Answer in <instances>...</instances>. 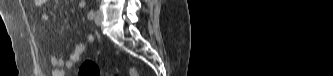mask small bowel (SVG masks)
Returning <instances> with one entry per match:
<instances>
[{
  "mask_svg": "<svg viewBox=\"0 0 333 76\" xmlns=\"http://www.w3.org/2000/svg\"><path fill=\"white\" fill-rule=\"evenodd\" d=\"M48 1L46 0H37L36 3L38 5H45ZM85 5L84 1L80 2V7ZM43 21H49L50 15L48 13L42 14ZM94 37L93 35L89 34L86 36L85 43H79L75 46L74 50L70 54L67 59H63L57 56H52L50 59V63L52 65V75L53 76H64L65 71L64 68H71L73 67L81 58V56L87 51L89 46L93 43ZM72 76H80L78 72H74Z\"/></svg>",
  "mask_w": 333,
  "mask_h": 76,
  "instance_id": "1",
  "label": "small bowel"
}]
</instances>
